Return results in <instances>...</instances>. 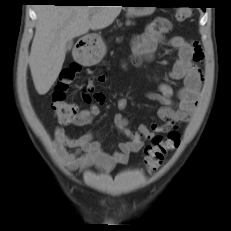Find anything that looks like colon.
<instances>
[{"instance_id": "5ec220e1", "label": "colon", "mask_w": 231, "mask_h": 231, "mask_svg": "<svg viewBox=\"0 0 231 231\" xmlns=\"http://www.w3.org/2000/svg\"><path fill=\"white\" fill-rule=\"evenodd\" d=\"M191 15L189 8H182L175 14L177 21H184ZM80 65L73 63L64 68L60 74L59 81L52 96V108L57 120L61 124H68L77 114L78 107L66 100V93L69 85L74 81L80 72ZM180 144V134L177 131H170L166 138L154 136L144 149L145 165L148 172L158 170L163 164L168 152L175 150Z\"/></svg>"}]
</instances>
